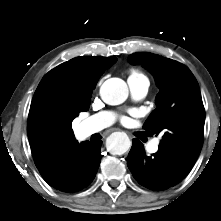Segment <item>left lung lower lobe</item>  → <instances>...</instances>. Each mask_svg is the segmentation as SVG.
<instances>
[{"label": "left lung lower lobe", "mask_w": 221, "mask_h": 221, "mask_svg": "<svg viewBox=\"0 0 221 221\" xmlns=\"http://www.w3.org/2000/svg\"><path fill=\"white\" fill-rule=\"evenodd\" d=\"M132 141L127 165L133 177L142 186L152 190H166L186 176L165 153L158 150L151 156H147L143 144L138 139Z\"/></svg>", "instance_id": "0a47b994"}]
</instances>
